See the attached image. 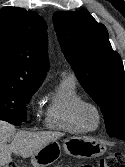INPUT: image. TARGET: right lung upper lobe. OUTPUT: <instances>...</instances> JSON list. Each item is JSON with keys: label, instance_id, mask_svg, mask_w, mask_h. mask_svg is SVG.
I'll return each instance as SVG.
<instances>
[{"label": "right lung upper lobe", "instance_id": "right-lung-upper-lobe-1", "mask_svg": "<svg viewBox=\"0 0 125 167\" xmlns=\"http://www.w3.org/2000/svg\"><path fill=\"white\" fill-rule=\"evenodd\" d=\"M47 25L36 12L0 9V86L37 90L48 70Z\"/></svg>", "mask_w": 125, "mask_h": 167}]
</instances>
